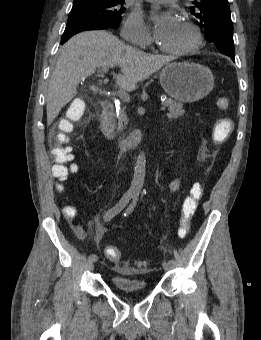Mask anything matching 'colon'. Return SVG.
Instances as JSON below:
<instances>
[{"label": "colon", "mask_w": 261, "mask_h": 340, "mask_svg": "<svg viewBox=\"0 0 261 340\" xmlns=\"http://www.w3.org/2000/svg\"><path fill=\"white\" fill-rule=\"evenodd\" d=\"M216 106L221 111H227L230 106L229 99L219 97ZM84 103L75 100L71 103L67 110V116L58 126V132L52 139L51 153L54 159L52 174L54 178L62 181L67 179L71 174L75 173L77 166L72 163L73 155L71 148L68 146L69 135L74 131V122L80 120L84 114ZM234 128L230 118L224 117L219 119L213 129V139L216 143L224 142L232 133ZM204 187L201 183H195L191 186L188 195L184 198L181 205V219L178 234L181 238H185L190 231L192 217L198 206L199 200L202 198ZM66 212H71V207H67ZM105 255L113 263H119L121 252L115 246H107Z\"/></svg>", "instance_id": "colon-1"}]
</instances>
